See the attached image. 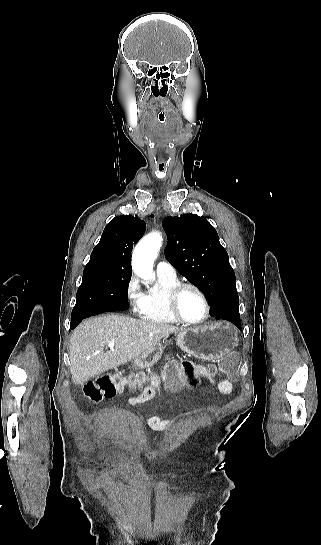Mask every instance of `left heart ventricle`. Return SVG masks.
<instances>
[{
    "instance_id": "obj_1",
    "label": "left heart ventricle",
    "mask_w": 321,
    "mask_h": 545,
    "mask_svg": "<svg viewBox=\"0 0 321 545\" xmlns=\"http://www.w3.org/2000/svg\"><path fill=\"white\" fill-rule=\"evenodd\" d=\"M177 308L180 316L189 322L199 321L205 313L201 297L192 289H186L180 294Z\"/></svg>"
}]
</instances>
